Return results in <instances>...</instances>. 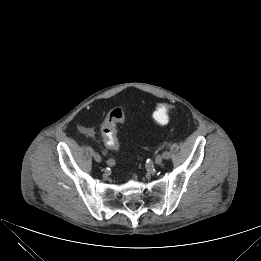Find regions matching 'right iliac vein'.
Masks as SVG:
<instances>
[{
	"instance_id": "1",
	"label": "right iliac vein",
	"mask_w": 261,
	"mask_h": 261,
	"mask_svg": "<svg viewBox=\"0 0 261 261\" xmlns=\"http://www.w3.org/2000/svg\"><path fill=\"white\" fill-rule=\"evenodd\" d=\"M93 159L97 163H101L102 162V157L99 154H97V153L93 154Z\"/></svg>"
}]
</instances>
